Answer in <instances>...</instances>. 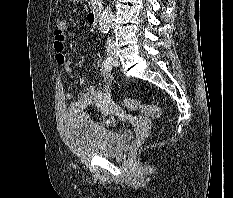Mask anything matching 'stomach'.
I'll return each mask as SVG.
<instances>
[{
  "instance_id": "1",
  "label": "stomach",
  "mask_w": 233,
  "mask_h": 198,
  "mask_svg": "<svg viewBox=\"0 0 233 198\" xmlns=\"http://www.w3.org/2000/svg\"><path fill=\"white\" fill-rule=\"evenodd\" d=\"M71 1H73V2H78L79 0H71Z\"/></svg>"
}]
</instances>
